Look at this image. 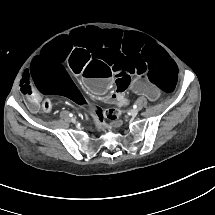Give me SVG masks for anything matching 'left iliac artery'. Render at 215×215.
Wrapping results in <instances>:
<instances>
[{
	"mask_svg": "<svg viewBox=\"0 0 215 215\" xmlns=\"http://www.w3.org/2000/svg\"><path fill=\"white\" fill-rule=\"evenodd\" d=\"M133 108H134V109H136V108H137V105H136V104H135V105H133Z\"/></svg>",
	"mask_w": 215,
	"mask_h": 215,
	"instance_id": "obj_1",
	"label": "left iliac artery"
}]
</instances>
